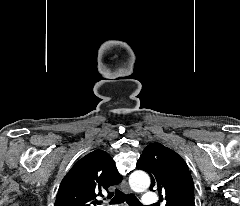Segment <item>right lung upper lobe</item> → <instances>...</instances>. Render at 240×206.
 <instances>
[{
  "label": "right lung upper lobe",
  "mask_w": 240,
  "mask_h": 206,
  "mask_svg": "<svg viewBox=\"0 0 240 206\" xmlns=\"http://www.w3.org/2000/svg\"><path fill=\"white\" fill-rule=\"evenodd\" d=\"M121 181L111 156L95 150L81 158L64 177L54 206H96V197Z\"/></svg>",
  "instance_id": "cb5924a9"
}]
</instances>
